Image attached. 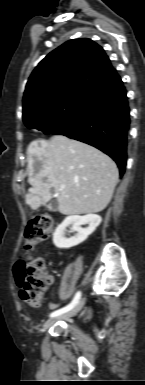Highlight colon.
Instances as JSON below:
<instances>
[{"label":"colon","mask_w":145,"mask_h":385,"mask_svg":"<svg viewBox=\"0 0 145 385\" xmlns=\"http://www.w3.org/2000/svg\"><path fill=\"white\" fill-rule=\"evenodd\" d=\"M54 220L49 215H41L32 219L24 233V245L31 250L36 244L44 241L50 234ZM15 281L21 299L32 307H39L51 284L45 273V262L41 258L28 257L19 262L14 270Z\"/></svg>","instance_id":"colon-1"}]
</instances>
